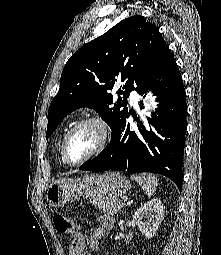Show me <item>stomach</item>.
Segmentation results:
<instances>
[{
	"label": "stomach",
	"instance_id": "0dacf381",
	"mask_svg": "<svg viewBox=\"0 0 221 255\" xmlns=\"http://www.w3.org/2000/svg\"><path fill=\"white\" fill-rule=\"evenodd\" d=\"M130 188L129 180L119 172L87 174L82 178L53 181L47 188L46 199L51 207L60 208L76 196L94 202L105 197L125 195Z\"/></svg>",
	"mask_w": 221,
	"mask_h": 255
}]
</instances>
